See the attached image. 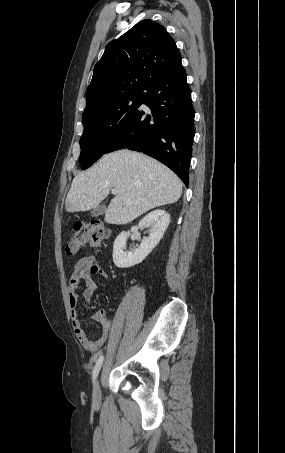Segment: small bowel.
I'll list each match as a JSON object with an SVG mask.
<instances>
[{"label": "small bowel", "mask_w": 285, "mask_h": 453, "mask_svg": "<svg viewBox=\"0 0 285 453\" xmlns=\"http://www.w3.org/2000/svg\"><path fill=\"white\" fill-rule=\"evenodd\" d=\"M96 275H99L103 279H108V274L103 270L98 260L94 256L89 255L79 259L75 263L68 281L69 304L73 330L82 347L90 352H97L99 350L107 340L113 328L112 319L109 318L104 310H99L91 316V319L99 322L102 325V330L97 338L91 339L87 336L79 319L77 307L80 299V294L78 293L80 281L84 280L86 283V288L81 296L85 302L89 303L94 293L99 288L95 279Z\"/></svg>", "instance_id": "obj_1"}]
</instances>
